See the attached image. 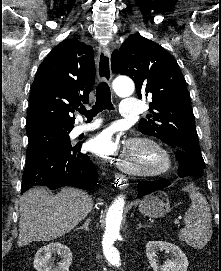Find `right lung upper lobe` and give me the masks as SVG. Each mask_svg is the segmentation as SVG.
Segmentation results:
<instances>
[{
    "label": "right lung upper lobe",
    "mask_w": 221,
    "mask_h": 271,
    "mask_svg": "<svg viewBox=\"0 0 221 271\" xmlns=\"http://www.w3.org/2000/svg\"><path fill=\"white\" fill-rule=\"evenodd\" d=\"M94 52L77 39L59 43L37 70L31 86L26 131L73 126L80 103H87L95 78Z\"/></svg>",
    "instance_id": "right-lung-upper-lobe-1"
}]
</instances>
